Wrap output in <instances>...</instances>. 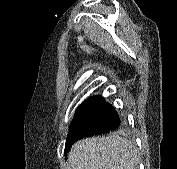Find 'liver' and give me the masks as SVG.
I'll return each mask as SVG.
<instances>
[{
	"label": "liver",
	"instance_id": "1",
	"mask_svg": "<svg viewBox=\"0 0 177 169\" xmlns=\"http://www.w3.org/2000/svg\"><path fill=\"white\" fill-rule=\"evenodd\" d=\"M137 163L134 144L112 134L76 142L68 154L67 169H135Z\"/></svg>",
	"mask_w": 177,
	"mask_h": 169
}]
</instances>
